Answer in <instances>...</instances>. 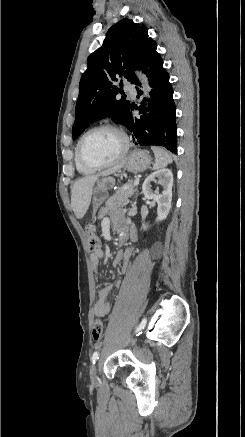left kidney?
<instances>
[{"mask_svg":"<svg viewBox=\"0 0 245 437\" xmlns=\"http://www.w3.org/2000/svg\"><path fill=\"white\" fill-rule=\"evenodd\" d=\"M159 179V183L162 185V193H154L151 188V182ZM172 186H173V174L170 169L164 168L150 174L142 185V192L144 197L148 200H154L158 204L157 208V221L166 219L171 209L172 201ZM147 226L144 225V229Z\"/></svg>","mask_w":245,"mask_h":437,"instance_id":"5707ae66","label":"left kidney"}]
</instances>
